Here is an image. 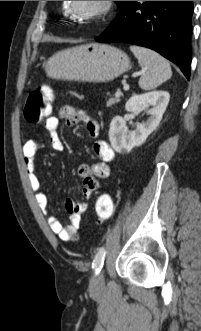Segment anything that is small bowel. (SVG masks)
I'll return each instance as SVG.
<instances>
[{"mask_svg": "<svg viewBox=\"0 0 201 331\" xmlns=\"http://www.w3.org/2000/svg\"><path fill=\"white\" fill-rule=\"evenodd\" d=\"M68 126L75 123H82L86 127L87 134L91 138H97L100 127L98 122L82 110L65 105L59 109L58 116H49L44 122V128L48 134L50 146L54 150L62 151L64 143L58 134L61 121ZM44 148V145L37 140H28L23 145V158L30 187L32 188L36 202L44 213L48 225L53 233L64 241H74L79 237V228L82 214L87 210V204L77 202L73 199H66L65 209L68 213L69 223L63 226L62 223L50 213L48 199L41 189V183L35 172V158L37 153ZM93 151L100 162L95 164H81L78 168V175L82 180V195L90 198L99 184L97 179H106L111 174L109 163L114 159V150L104 140H96L93 144Z\"/></svg>", "mask_w": 201, "mask_h": 331, "instance_id": "obj_1", "label": "small bowel"}]
</instances>
